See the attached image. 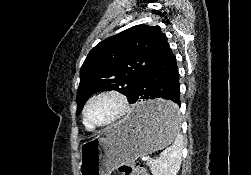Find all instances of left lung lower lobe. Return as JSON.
<instances>
[{
	"label": "left lung lower lobe",
	"instance_id": "obj_1",
	"mask_svg": "<svg viewBox=\"0 0 251 175\" xmlns=\"http://www.w3.org/2000/svg\"><path fill=\"white\" fill-rule=\"evenodd\" d=\"M155 98L166 99L171 103L141 108L137 113L138 119L156 123L175 121L179 115L180 84L176 57L169 44L142 76L129 102L135 103L139 99Z\"/></svg>",
	"mask_w": 251,
	"mask_h": 175
}]
</instances>
